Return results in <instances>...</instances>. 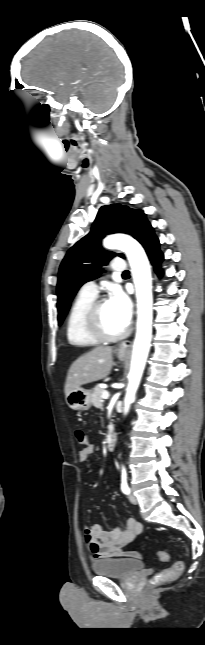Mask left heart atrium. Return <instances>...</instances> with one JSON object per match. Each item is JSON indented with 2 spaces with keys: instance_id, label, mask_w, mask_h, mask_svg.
<instances>
[{
  "instance_id": "1",
  "label": "left heart atrium",
  "mask_w": 205,
  "mask_h": 645,
  "mask_svg": "<svg viewBox=\"0 0 205 645\" xmlns=\"http://www.w3.org/2000/svg\"><path fill=\"white\" fill-rule=\"evenodd\" d=\"M108 303L116 313L121 324L126 328L132 317V302L130 298L119 288L112 290Z\"/></svg>"
}]
</instances>
